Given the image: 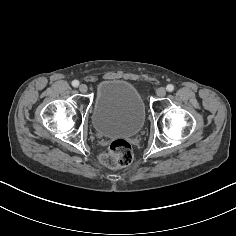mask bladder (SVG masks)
Segmentation results:
<instances>
[{
    "label": "bladder",
    "instance_id": "obj_1",
    "mask_svg": "<svg viewBox=\"0 0 236 236\" xmlns=\"http://www.w3.org/2000/svg\"><path fill=\"white\" fill-rule=\"evenodd\" d=\"M145 116L142 96L132 84L123 80H104L97 84L92 123L99 134L135 136L142 131Z\"/></svg>",
    "mask_w": 236,
    "mask_h": 236
}]
</instances>
